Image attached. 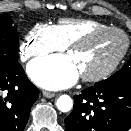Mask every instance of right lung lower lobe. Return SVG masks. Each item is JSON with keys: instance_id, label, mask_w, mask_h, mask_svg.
Segmentation results:
<instances>
[{"instance_id": "98d812e1", "label": "right lung lower lobe", "mask_w": 131, "mask_h": 131, "mask_svg": "<svg viewBox=\"0 0 131 131\" xmlns=\"http://www.w3.org/2000/svg\"><path fill=\"white\" fill-rule=\"evenodd\" d=\"M38 96L19 63L0 69V131H23Z\"/></svg>"}]
</instances>
